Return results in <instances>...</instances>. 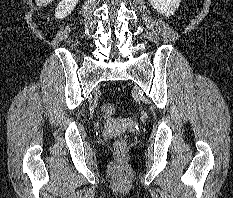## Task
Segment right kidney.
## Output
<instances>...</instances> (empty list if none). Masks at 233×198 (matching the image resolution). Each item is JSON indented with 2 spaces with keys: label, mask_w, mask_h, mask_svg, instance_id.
Returning <instances> with one entry per match:
<instances>
[{
  "label": "right kidney",
  "mask_w": 233,
  "mask_h": 198,
  "mask_svg": "<svg viewBox=\"0 0 233 198\" xmlns=\"http://www.w3.org/2000/svg\"><path fill=\"white\" fill-rule=\"evenodd\" d=\"M77 3L78 0H61L56 8L55 17L58 19L65 18L73 11Z\"/></svg>",
  "instance_id": "1"
}]
</instances>
